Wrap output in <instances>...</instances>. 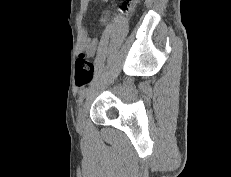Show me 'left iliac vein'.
Returning a JSON list of instances; mask_svg holds the SVG:
<instances>
[{
    "instance_id": "left-iliac-vein-1",
    "label": "left iliac vein",
    "mask_w": 231,
    "mask_h": 177,
    "mask_svg": "<svg viewBox=\"0 0 231 177\" xmlns=\"http://www.w3.org/2000/svg\"><path fill=\"white\" fill-rule=\"evenodd\" d=\"M84 116H85V104H82L77 114V128L80 130L84 128Z\"/></svg>"
}]
</instances>
